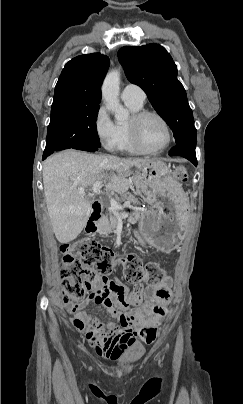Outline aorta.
<instances>
[{
  "mask_svg": "<svg viewBox=\"0 0 243 404\" xmlns=\"http://www.w3.org/2000/svg\"><path fill=\"white\" fill-rule=\"evenodd\" d=\"M120 86V72L119 70H112L107 74L102 86L103 102L110 112H113L117 122H125L129 116L128 110H125L120 104L119 88Z\"/></svg>",
  "mask_w": 243,
  "mask_h": 404,
  "instance_id": "obj_1",
  "label": "aorta"
}]
</instances>
